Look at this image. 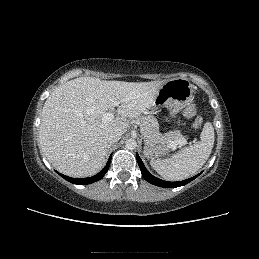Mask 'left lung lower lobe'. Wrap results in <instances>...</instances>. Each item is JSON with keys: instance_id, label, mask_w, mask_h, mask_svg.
Listing matches in <instances>:
<instances>
[{"instance_id": "obj_1", "label": "left lung lower lobe", "mask_w": 259, "mask_h": 259, "mask_svg": "<svg viewBox=\"0 0 259 259\" xmlns=\"http://www.w3.org/2000/svg\"><path fill=\"white\" fill-rule=\"evenodd\" d=\"M136 158L142 173V176L144 177V179L146 181H148L149 183L159 186V187H164V188H175V187H180L183 186L189 182H191L192 180H194L198 175L191 177L189 179L183 180V181H179V182H168V181H164L161 179H158L157 177L153 176L152 174H150L148 172V170L145 168L142 160L140 159L139 155L136 154Z\"/></svg>"}]
</instances>
